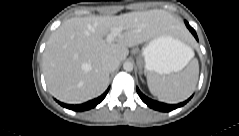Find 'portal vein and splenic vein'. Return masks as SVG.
Here are the masks:
<instances>
[{"mask_svg": "<svg viewBox=\"0 0 239 136\" xmlns=\"http://www.w3.org/2000/svg\"><path fill=\"white\" fill-rule=\"evenodd\" d=\"M124 30L123 27H113L110 33L106 37V41L111 43L115 40V38Z\"/></svg>", "mask_w": 239, "mask_h": 136, "instance_id": "obj_1", "label": "portal vein and splenic vein"}]
</instances>
